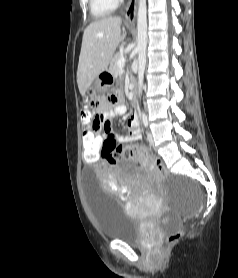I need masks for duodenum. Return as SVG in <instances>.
<instances>
[{"mask_svg": "<svg viewBox=\"0 0 238 278\" xmlns=\"http://www.w3.org/2000/svg\"><path fill=\"white\" fill-rule=\"evenodd\" d=\"M132 107H133V110L136 112L137 110V97H136V93L133 92V95H132Z\"/></svg>", "mask_w": 238, "mask_h": 278, "instance_id": "410a0bca", "label": "duodenum"}]
</instances>
